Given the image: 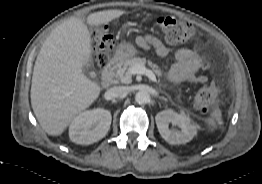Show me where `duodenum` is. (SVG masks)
<instances>
[{"label": "duodenum", "mask_w": 262, "mask_h": 184, "mask_svg": "<svg viewBox=\"0 0 262 184\" xmlns=\"http://www.w3.org/2000/svg\"><path fill=\"white\" fill-rule=\"evenodd\" d=\"M120 58L114 57L111 61L108 62V64L104 67L102 72V86L104 88H110L113 83V73L116 70V68L120 65Z\"/></svg>", "instance_id": "1"}]
</instances>
